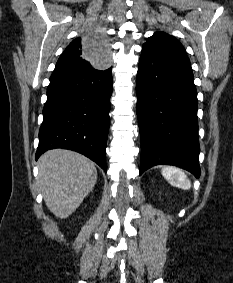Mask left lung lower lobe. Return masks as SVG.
<instances>
[{
  "label": "left lung lower lobe",
  "instance_id": "1",
  "mask_svg": "<svg viewBox=\"0 0 233 283\" xmlns=\"http://www.w3.org/2000/svg\"><path fill=\"white\" fill-rule=\"evenodd\" d=\"M141 175L174 165L200 175L197 91L184 52L142 48L136 81Z\"/></svg>",
  "mask_w": 233,
  "mask_h": 283
}]
</instances>
